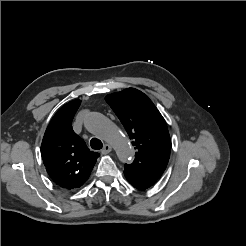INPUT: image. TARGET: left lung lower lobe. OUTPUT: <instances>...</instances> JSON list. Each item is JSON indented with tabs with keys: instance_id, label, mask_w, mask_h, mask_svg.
<instances>
[{
	"instance_id": "obj_1",
	"label": "left lung lower lobe",
	"mask_w": 246,
	"mask_h": 246,
	"mask_svg": "<svg viewBox=\"0 0 246 246\" xmlns=\"http://www.w3.org/2000/svg\"><path fill=\"white\" fill-rule=\"evenodd\" d=\"M124 174L127 181L138 190H145L152 185H154V181L132 171L127 168H124Z\"/></svg>"
}]
</instances>
